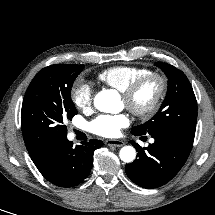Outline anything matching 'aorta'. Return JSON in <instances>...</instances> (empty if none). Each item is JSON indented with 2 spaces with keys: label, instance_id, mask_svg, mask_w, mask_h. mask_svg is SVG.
Here are the masks:
<instances>
[{
  "label": "aorta",
  "instance_id": "762f6f07",
  "mask_svg": "<svg viewBox=\"0 0 215 215\" xmlns=\"http://www.w3.org/2000/svg\"><path fill=\"white\" fill-rule=\"evenodd\" d=\"M94 106L101 112L117 113L120 110V96L116 90H103L95 96ZM119 156L123 162L130 163L134 161L136 151L132 146H124Z\"/></svg>",
  "mask_w": 215,
  "mask_h": 215
}]
</instances>
